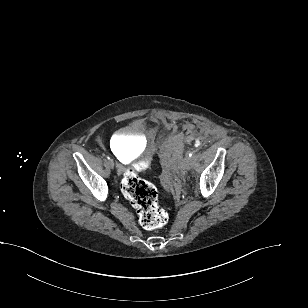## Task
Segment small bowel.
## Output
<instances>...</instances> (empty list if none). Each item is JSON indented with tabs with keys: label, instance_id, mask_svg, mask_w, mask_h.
Listing matches in <instances>:
<instances>
[{
	"label": "small bowel",
	"instance_id": "obj_1",
	"mask_svg": "<svg viewBox=\"0 0 308 308\" xmlns=\"http://www.w3.org/2000/svg\"><path fill=\"white\" fill-rule=\"evenodd\" d=\"M186 128H187L188 131H192L193 130V126L191 124H188L186 126Z\"/></svg>",
	"mask_w": 308,
	"mask_h": 308
}]
</instances>
